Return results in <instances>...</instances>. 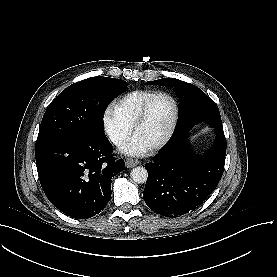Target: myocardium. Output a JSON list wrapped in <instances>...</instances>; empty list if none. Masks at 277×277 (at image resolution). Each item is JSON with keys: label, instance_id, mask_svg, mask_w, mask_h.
Instances as JSON below:
<instances>
[{"label": "myocardium", "instance_id": "myocardium-1", "mask_svg": "<svg viewBox=\"0 0 277 277\" xmlns=\"http://www.w3.org/2000/svg\"><path fill=\"white\" fill-rule=\"evenodd\" d=\"M158 97L166 98V99H168L172 102V104H173V114H172V118H171L168 130L166 131V134L164 135V137L160 141H158L154 144L147 145L149 150H156V149L162 147L163 145H165L169 141V139L171 138V136L174 132V129H175L176 123H177V119H178V108H177V104H176L175 100L170 95H168L167 93H164V92L155 93L152 96V98H150L147 101V103L143 107L142 111L137 116V118L134 122V125H133L132 135L134 137L137 136L138 129H139L141 123L143 122L150 105Z\"/></svg>", "mask_w": 277, "mask_h": 277}]
</instances>
